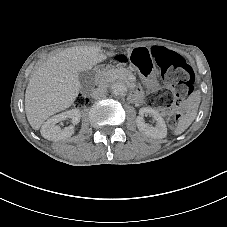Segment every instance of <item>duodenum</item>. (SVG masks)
I'll return each mask as SVG.
<instances>
[{
  "label": "duodenum",
  "mask_w": 227,
  "mask_h": 227,
  "mask_svg": "<svg viewBox=\"0 0 227 227\" xmlns=\"http://www.w3.org/2000/svg\"><path fill=\"white\" fill-rule=\"evenodd\" d=\"M111 67V65H108L107 68L109 69Z\"/></svg>",
  "instance_id": "1"
}]
</instances>
